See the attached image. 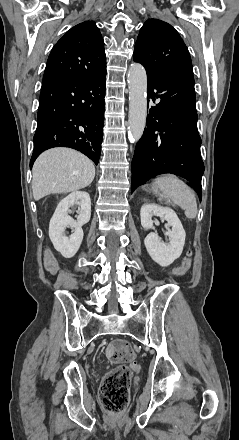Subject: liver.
I'll use <instances>...</instances> for the list:
<instances>
[{"label":"liver","mask_w":239,"mask_h":440,"mask_svg":"<svg viewBox=\"0 0 239 440\" xmlns=\"http://www.w3.org/2000/svg\"><path fill=\"white\" fill-rule=\"evenodd\" d=\"M34 200L48 194L77 192L92 184L95 178L93 162L70 148H52L37 158L33 170Z\"/></svg>","instance_id":"obj_1"}]
</instances>
